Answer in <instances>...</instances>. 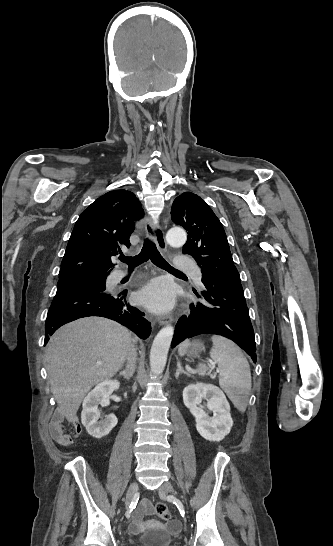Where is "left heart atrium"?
Listing matches in <instances>:
<instances>
[{
	"instance_id": "39dd6f15",
	"label": "left heart atrium",
	"mask_w": 333,
	"mask_h": 546,
	"mask_svg": "<svg viewBox=\"0 0 333 546\" xmlns=\"http://www.w3.org/2000/svg\"><path fill=\"white\" fill-rule=\"evenodd\" d=\"M138 299L153 311L164 312L173 305V287L164 280H154L138 293Z\"/></svg>"
}]
</instances>
